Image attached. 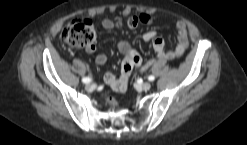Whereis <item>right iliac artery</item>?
<instances>
[{
	"instance_id": "1",
	"label": "right iliac artery",
	"mask_w": 247,
	"mask_h": 145,
	"mask_svg": "<svg viewBox=\"0 0 247 145\" xmlns=\"http://www.w3.org/2000/svg\"><path fill=\"white\" fill-rule=\"evenodd\" d=\"M82 82L85 83V84L90 83V82H91V78H89V77H84V78L82 79Z\"/></svg>"
}]
</instances>
